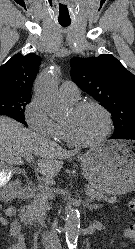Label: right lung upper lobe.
Instances as JSON below:
<instances>
[{
	"mask_svg": "<svg viewBox=\"0 0 135 249\" xmlns=\"http://www.w3.org/2000/svg\"><path fill=\"white\" fill-rule=\"evenodd\" d=\"M40 62L41 58L34 53L15 54L0 67V93L31 95L32 84Z\"/></svg>",
	"mask_w": 135,
	"mask_h": 249,
	"instance_id": "1",
	"label": "right lung upper lobe"
}]
</instances>
